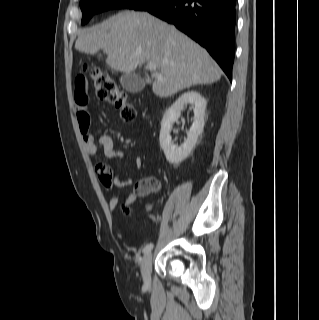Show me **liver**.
<instances>
[{
  "instance_id": "obj_1",
  "label": "liver",
  "mask_w": 319,
  "mask_h": 320,
  "mask_svg": "<svg viewBox=\"0 0 319 320\" xmlns=\"http://www.w3.org/2000/svg\"><path fill=\"white\" fill-rule=\"evenodd\" d=\"M75 49L92 55L102 50L107 54L106 64L123 73H132L145 62L156 63L163 79L155 75L153 80L146 74V82L159 97L221 78L219 67L204 48L145 12L124 11L83 30Z\"/></svg>"
}]
</instances>
